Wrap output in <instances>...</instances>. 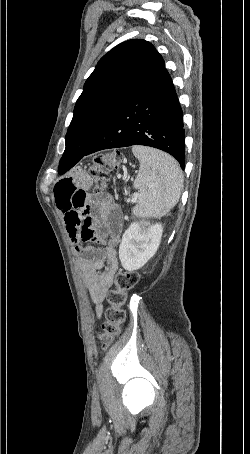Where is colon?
Here are the masks:
<instances>
[{
  "instance_id": "1",
  "label": "colon",
  "mask_w": 250,
  "mask_h": 454,
  "mask_svg": "<svg viewBox=\"0 0 250 454\" xmlns=\"http://www.w3.org/2000/svg\"><path fill=\"white\" fill-rule=\"evenodd\" d=\"M121 162V153L113 151L96 155L89 167L95 190L100 192L105 189L111 173L116 170ZM139 282L136 271H120L115 278V288L107 294L109 307L106 311V320L98 333L101 344L106 347L121 333L122 325L126 320L124 305L129 292Z\"/></svg>"
}]
</instances>
